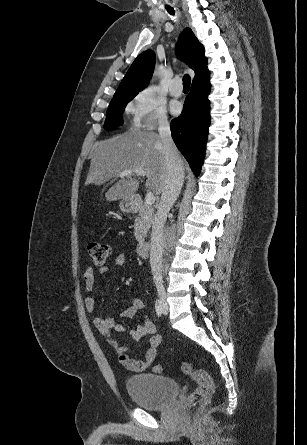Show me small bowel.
Wrapping results in <instances>:
<instances>
[{
	"instance_id": "c3829d8e",
	"label": "small bowel",
	"mask_w": 307,
	"mask_h": 445,
	"mask_svg": "<svg viewBox=\"0 0 307 445\" xmlns=\"http://www.w3.org/2000/svg\"><path fill=\"white\" fill-rule=\"evenodd\" d=\"M127 256L125 254H119L113 261L114 266H124L127 264ZM110 266H103L98 271L93 266H89L84 275V285L88 293H91L96 284L97 274H106L110 272ZM85 307L91 315H93V324L98 332L108 341V343L116 350L119 355L120 362L133 372H142L155 360L158 352V348L162 342L161 335L156 333L155 324L145 317L141 322L135 326H127L122 322H117L114 317H102L97 314L96 303L92 296H87L85 299ZM144 308L142 300L135 298L131 304L120 313L119 317L122 319L134 318ZM128 332L134 340H139L145 336H149L147 340V350L145 360H138L130 358L128 355V347L121 346L111 337V332Z\"/></svg>"
}]
</instances>
